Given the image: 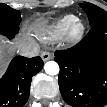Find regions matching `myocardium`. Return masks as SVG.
Returning a JSON list of instances; mask_svg holds the SVG:
<instances>
[{
    "instance_id": "f54148a6",
    "label": "myocardium",
    "mask_w": 107,
    "mask_h": 107,
    "mask_svg": "<svg viewBox=\"0 0 107 107\" xmlns=\"http://www.w3.org/2000/svg\"><path fill=\"white\" fill-rule=\"evenodd\" d=\"M84 33H85L84 23L80 19L75 18L69 25L65 37L69 42L75 43L78 42L83 37Z\"/></svg>"
}]
</instances>
